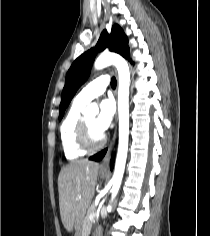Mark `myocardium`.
I'll list each match as a JSON object with an SVG mask.
<instances>
[{"label": "myocardium", "instance_id": "myocardium-1", "mask_svg": "<svg viewBox=\"0 0 210 236\" xmlns=\"http://www.w3.org/2000/svg\"><path fill=\"white\" fill-rule=\"evenodd\" d=\"M78 144L86 151H93L99 149L105 144L106 137L101 134L99 139H95L92 135V131L86 121L85 117H82L79 129H78Z\"/></svg>", "mask_w": 210, "mask_h": 236}]
</instances>
